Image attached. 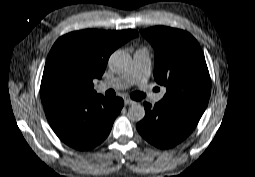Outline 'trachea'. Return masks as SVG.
<instances>
[{"mask_svg":"<svg viewBox=\"0 0 255 177\" xmlns=\"http://www.w3.org/2000/svg\"><path fill=\"white\" fill-rule=\"evenodd\" d=\"M106 94L111 97L115 96V92L113 90H108ZM130 96L134 100H141L142 98L145 97V94L141 92H134Z\"/></svg>","mask_w":255,"mask_h":177,"instance_id":"1","label":"trachea"}]
</instances>
